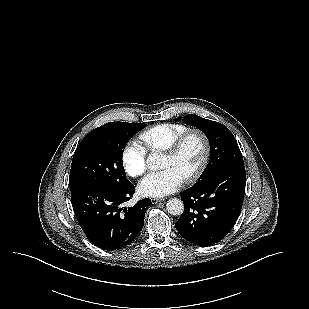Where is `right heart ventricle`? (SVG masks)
<instances>
[{"label": "right heart ventricle", "mask_w": 309, "mask_h": 309, "mask_svg": "<svg viewBox=\"0 0 309 309\" xmlns=\"http://www.w3.org/2000/svg\"><path fill=\"white\" fill-rule=\"evenodd\" d=\"M187 130L189 128L184 124L162 123L146 129L139 138L149 152H162Z\"/></svg>", "instance_id": "obj_1"}]
</instances>
